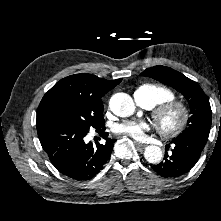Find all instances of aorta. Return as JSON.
I'll use <instances>...</instances> for the list:
<instances>
[{
    "instance_id": "762f6f07",
    "label": "aorta",
    "mask_w": 221,
    "mask_h": 221,
    "mask_svg": "<svg viewBox=\"0 0 221 221\" xmlns=\"http://www.w3.org/2000/svg\"><path fill=\"white\" fill-rule=\"evenodd\" d=\"M109 104L112 112L120 117L130 116L135 111L133 99L126 93H116L111 97ZM144 157L149 163L157 164L162 160V150L155 145L147 146Z\"/></svg>"
}]
</instances>
